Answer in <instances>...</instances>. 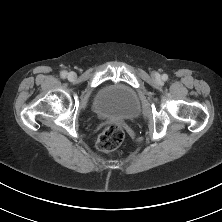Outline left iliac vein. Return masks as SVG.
Segmentation results:
<instances>
[{"instance_id":"1","label":"left iliac vein","mask_w":222,"mask_h":222,"mask_svg":"<svg viewBox=\"0 0 222 222\" xmlns=\"http://www.w3.org/2000/svg\"><path fill=\"white\" fill-rule=\"evenodd\" d=\"M155 77H156V79H160V76H159V75H157V74L155 75Z\"/></svg>"}]
</instances>
